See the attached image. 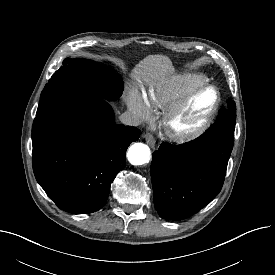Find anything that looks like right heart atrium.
Segmentation results:
<instances>
[{
  "label": "right heart atrium",
  "mask_w": 275,
  "mask_h": 275,
  "mask_svg": "<svg viewBox=\"0 0 275 275\" xmlns=\"http://www.w3.org/2000/svg\"><path fill=\"white\" fill-rule=\"evenodd\" d=\"M129 110L138 118L145 119L150 115V109L146 101L136 91H132L127 97Z\"/></svg>",
  "instance_id": "d8ad5b80"
}]
</instances>
